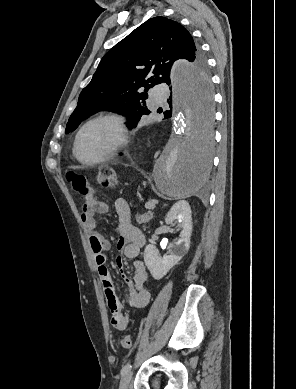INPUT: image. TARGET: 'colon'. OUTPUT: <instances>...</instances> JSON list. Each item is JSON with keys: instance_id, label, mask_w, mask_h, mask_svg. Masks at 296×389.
I'll return each instance as SVG.
<instances>
[{"instance_id": "colon-1", "label": "colon", "mask_w": 296, "mask_h": 389, "mask_svg": "<svg viewBox=\"0 0 296 389\" xmlns=\"http://www.w3.org/2000/svg\"><path fill=\"white\" fill-rule=\"evenodd\" d=\"M68 180L73 189L84 197L91 193L90 179L87 175L79 173H70ZM96 183L104 188L115 187L118 183L116 172L108 166L98 169L96 175ZM121 345L124 349H130L132 346V338L130 335H124L121 338Z\"/></svg>"}]
</instances>
